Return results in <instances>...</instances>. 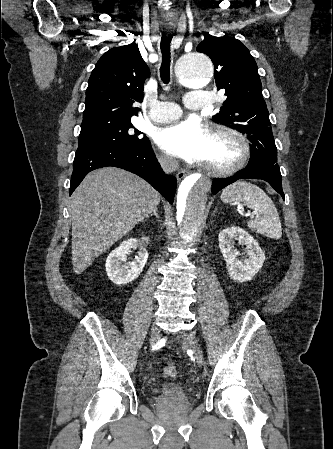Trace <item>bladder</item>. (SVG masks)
<instances>
[{
	"label": "bladder",
	"instance_id": "obj_1",
	"mask_svg": "<svg viewBox=\"0 0 333 449\" xmlns=\"http://www.w3.org/2000/svg\"><path fill=\"white\" fill-rule=\"evenodd\" d=\"M154 399H165L169 397L189 398V390L177 382L162 384L151 391Z\"/></svg>",
	"mask_w": 333,
	"mask_h": 449
}]
</instances>
